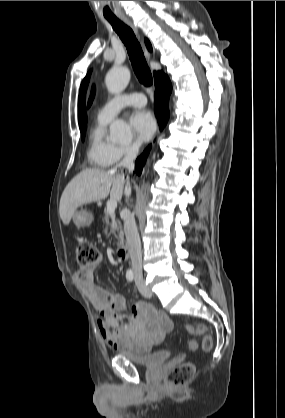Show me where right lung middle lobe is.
Here are the masks:
<instances>
[{
    "label": "right lung middle lobe",
    "mask_w": 285,
    "mask_h": 418,
    "mask_svg": "<svg viewBox=\"0 0 285 418\" xmlns=\"http://www.w3.org/2000/svg\"><path fill=\"white\" fill-rule=\"evenodd\" d=\"M85 129H86V126L80 128L82 140L84 139V136H85Z\"/></svg>",
    "instance_id": "right-lung-middle-lobe-1"
}]
</instances>
